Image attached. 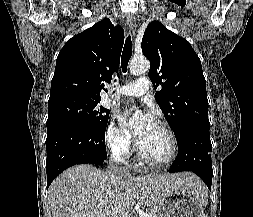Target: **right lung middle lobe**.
Segmentation results:
<instances>
[{
  "instance_id": "1",
  "label": "right lung middle lobe",
  "mask_w": 253,
  "mask_h": 217,
  "mask_svg": "<svg viewBox=\"0 0 253 217\" xmlns=\"http://www.w3.org/2000/svg\"><path fill=\"white\" fill-rule=\"evenodd\" d=\"M99 102L100 99L70 97L48 103L47 129L65 123L81 124L99 131L106 129L109 110Z\"/></svg>"
}]
</instances>
